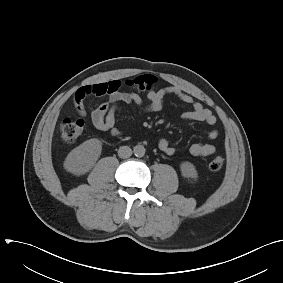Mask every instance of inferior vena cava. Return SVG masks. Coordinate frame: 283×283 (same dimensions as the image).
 I'll list each match as a JSON object with an SVG mask.
<instances>
[{
    "label": "inferior vena cava",
    "instance_id": "602c4592",
    "mask_svg": "<svg viewBox=\"0 0 283 283\" xmlns=\"http://www.w3.org/2000/svg\"><path fill=\"white\" fill-rule=\"evenodd\" d=\"M132 155V150L128 146H121L118 150V156L120 158H129Z\"/></svg>",
    "mask_w": 283,
    "mask_h": 283
}]
</instances>
